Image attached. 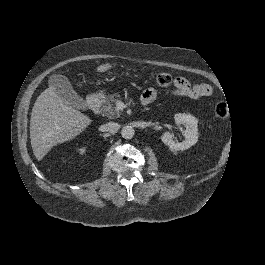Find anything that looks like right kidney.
Wrapping results in <instances>:
<instances>
[{
	"mask_svg": "<svg viewBox=\"0 0 265 265\" xmlns=\"http://www.w3.org/2000/svg\"><path fill=\"white\" fill-rule=\"evenodd\" d=\"M85 147H82V148H80V149H78V151H79V153L80 154H84L85 153Z\"/></svg>",
	"mask_w": 265,
	"mask_h": 265,
	"instance_id": "right-kidney-1",
	"label": "right kidney"
}]
</instances>
